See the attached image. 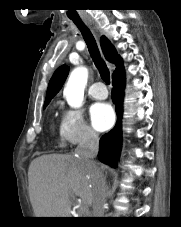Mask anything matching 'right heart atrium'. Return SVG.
I'll return each instance as SVG.
<instances>
[{
    "instance_id": "1",
    "label": "right heart atrium",
    "mask_w": 181,
    "mask_h": 227,
    "mask_svg": "<svg viewBox=\"0 0 181 227\" xmlns=\"http://www.w3.org/2000/svg\"><path fill=\"white\" fill-rule=\"evenodd\" d=\"M60 136L70 145L94 143L98 140L95 130L85 121L79 109H65L60 123Z\"/></svg>"
}]
</instances>
